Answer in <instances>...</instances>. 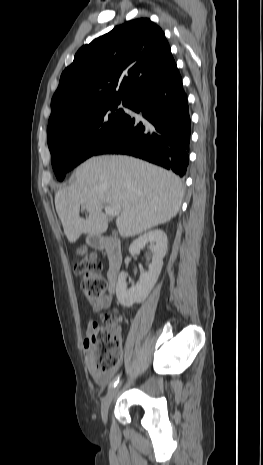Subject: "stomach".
Masks as SVG:
<instances>
[{"label":"stomach","mask_w":263,"mask_h":465,"mask_svg":"<svg viewBox=\"0 0 263 465\" xmlns=\"http://www.w3.org/2000/svg\"><path fill=\"white\" fill-rule=\"evenodd\" d=\"M86 241L91 246H94L96 244V240H95V237L93 235L87 236Z\"/></svg>","instance_id":"0dacf381"}]
</instances>
